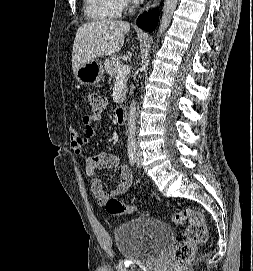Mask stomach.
Masks as SVG:
<instances>
[{
    "label": "stomach",
    "mask_w": 253,
    "mask_h": 271,
    "mask_svg": "<svg viewBox=\"0 0 253 271\" xmlns=\"http://www.w3.org/2000/svg\"><path fill=\"white\" fill-rule=\"evenodd\" d=\"M103 75V66L99 61L86 62L75 72L77 81L82 85H95L102 79Z\"/></svg>",
    "instance_id": "stomach-1"
}]
</instances>
